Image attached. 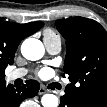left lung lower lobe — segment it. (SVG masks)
I'll return each mask as SVG.
<instances>
[{"mask_svg": "<svg viewBox=\"0 0 107 107\" xmlns=\"http://www.w3.org/2000/svg\"><path fill=\"white\" fill-rule=\"evenodd\" d=\"M71 87H66L65 95L60 98L59 107H107V89L74 94Z\"/></svg>", "mask_w": 107, "mask_h": 107, "instance_id": "left-lung-lower-lobe-1", "label": "left lung lower lobe"}]
</instances>
